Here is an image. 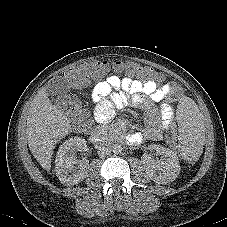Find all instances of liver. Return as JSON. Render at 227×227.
<instances>
[{
	"label": "liver",
	"mask_w": 227,
	"mask_h": 227,
	"mask_svg": "<svg viewBox=\"0 0 227 227\" xmlns=\"http://www.w3.org/2000/svg\"><path fill=\"white\" fill-rule=\"evenodd\" d=\"M70 129V120L62 110L52 104L46 87H43L31 103L26 125L28 146L43 169H51L54 146Z\"/></svg>",
	"instance_id": "1"
}]
</instances>
